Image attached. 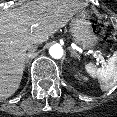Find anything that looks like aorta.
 <instances>
[{"instance_id": "obj_1", "label": "aorta", "mask_w": 117, "mask_h": 117, "mask_svg": "<svg viewBox=\"0 0 117 117\" xmlns=\"http://www.w3.org/2000/svg\"><path fill=\"white\" fill-rule=\"evenodd\" d=\"M49 54L54 59H60V58L63 57L64 51H63V48L60 45H53L49 49Z\"/></svg>"}]
</instances>
